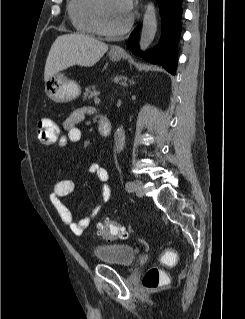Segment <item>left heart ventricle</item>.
<instances>
[{
  "instance_id": "1",
  "label": "left heart ventricle",
  "mask_w": 245,
  "mask_h": 319,
  "mask_svg": "<svg viewBox=\"0 0 245 319\" xmlns=\"http://www.w3.org/2000/svg\"><path fill=\"white\" fill-rule=\"evenodd\" d=\"M103 17L107 27L118 29L126 23L129 15L119 9L116 0H103Z\"/></svg>"
}]
</instances>
